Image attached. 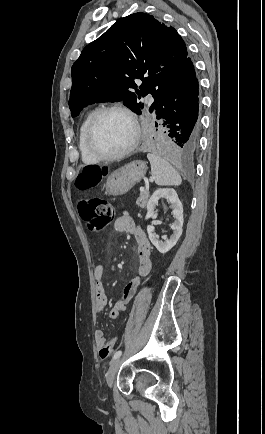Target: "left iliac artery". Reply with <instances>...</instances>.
Returning a JSON list of instances; mask_svg holds the SVG:
<instances>
[{"instance_id":"left-iliac-artery-1","label":"left iliac artery","mask_w":265,"mask_h":434,"mask_svg":"<svg viewBox=\"0 0 265 434\" xmlns=\"http://www.w3.org/2000/svg\"><path fill=\"white\" fill-rule=\"evenodd\" d=\"M122 354L121 350H118L114 353L112 360L114 361L115 359L119 358Z\"/></svg>"}]
</instances>
